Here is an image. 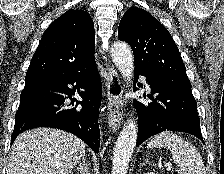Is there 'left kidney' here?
<instances>
[{
    "label": "left kidney",
    "mask_w": 224,
    "mask_h": 174,
    "mask_svg": "<svg viewBox=\"0 0 224 174\" xmlns=\"http://www.w3.org/2000/svg\"><path fill=\"white\" fill-rule=\"evenodd\" d=\"M146 174H155V173H153V172H148V173H146Z\"/></svg>",
    "instance_id": "obj_1"
}]
</instances>
